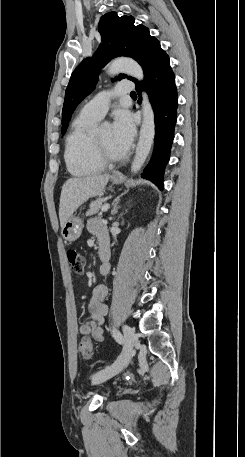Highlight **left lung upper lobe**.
Wrapping results in <instances>:
<instances>
[{"mask_svg": "<svg viewBox=\"0 0 245 457\" xmlns=\"http://www.w3.org/2000/svg\"><path fill=\"white\" fill-rule=\"evenodd\" d=\"M133 16L119 17L116 12L103 15L99 21L102 44L93 58L84 59L74 70L65 92L62 111V134L64 135L72 113L77 105L94 89L100 68L118 56L134 58L140 65L148 55L160 48L159 41L150 36L143 25H134ZM127 77L119 74L117 79ZM135 81V78L127 77ZM116 80V79H114Z\"/></svg>", "mask_w": 245, "mask_h": 457, "instance_id": "5c2ea615", "label": "left lung upper lobe"}]
</instances>
